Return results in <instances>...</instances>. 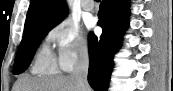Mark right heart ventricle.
Segmentation results:
<instances>
[{"mask_svg":"<svg viewBox=\"0 0 173 91\" xmlns=\"http://www.w3.org/2000/svg\"><path fill=\"white\" fill-rule=\"evenodd\" d=\"M32 72L41 75L57 74L59 72L58 62L47 47L43 46L36 54Z\"/></svg>","mask_w":173,"mask_h":91,"instance_id":"1","label":"right heart ventricle"}]
</instances>
